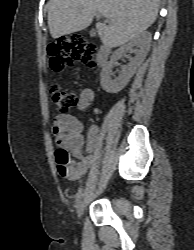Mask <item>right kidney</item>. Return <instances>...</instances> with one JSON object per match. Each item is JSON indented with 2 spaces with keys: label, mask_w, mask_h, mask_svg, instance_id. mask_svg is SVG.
<instances>
[{
  "label": "right kidney",
  "mask_w": 194,
  "mask_h": 250,
  "mask_svg": "<svg viewBox=\"0 0 194 250\" xmlns=\"http://www.w3.org/2000/svg\"><path fill=\"white\" fill-rule=\"evenodd\" d=\"M151 34L142 32L135 36L126 45L121 46L111 56L110 61L101 72V86L108 93L120 92L135 74L137 68L142 64L150 49ZM138 48V49H136ZM129 51H135V57L129 58V64L124 66L118 77L112 79V69L115 62Z\"/></svg>",
  "instance_id": "right-kidney-1"
}]
</instances>
